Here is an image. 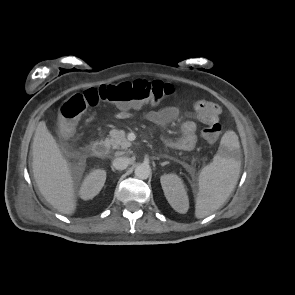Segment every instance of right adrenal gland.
<instances>
[{"instance_id": "2a0ac1e0", "label": "right adrenal gland", "mask_w": 295, "mask_h": 295, "mask_svg": "<svg viewBox=\"0 0 295 295\" xmlns=\"http://www.w3.org/2000/svg\"><path fill=\"white\" fill-rule=\"evenodd\" d=\"M111 169H112L113 172H115V169L113 168V166H111Z\"/></svg>"}]
</instances>
